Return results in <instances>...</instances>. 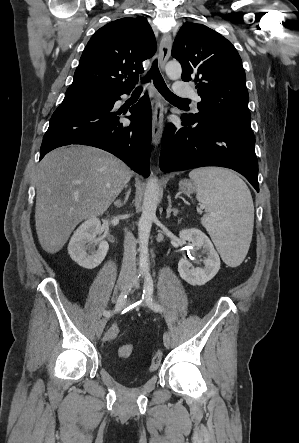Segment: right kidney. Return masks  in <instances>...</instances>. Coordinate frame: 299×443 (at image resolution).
<instances>
[{"mask_svg":"<svg viewBox=\"0 0 299 443\" xmlns=\"http://www.w3.org/2000/svg\"><path fill=\"white\" fill-rule=\"evenodd\" d=\"M100 228L101 222L98 218H89L77 228L70 239L68 253L72 260L83 268L94 269L108 252V243L96 238Z\"/></svg>","mask_w":299,"mask_h":443,"instance_id":"obj_1","label":"right kidney"}]
</instances>
